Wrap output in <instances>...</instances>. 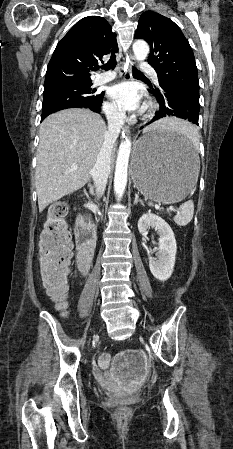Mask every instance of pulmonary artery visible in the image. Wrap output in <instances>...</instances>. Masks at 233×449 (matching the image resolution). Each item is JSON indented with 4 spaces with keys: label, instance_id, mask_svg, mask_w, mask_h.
Here are the masks:
<instances>
[{
    "label": "pulmonary artery",
    "instance_id": "1",
    "mask_svg": "<svg viewBox=\"0 0 233 449\" xmlns=\"http://www.w3.org/2000/svg\"><path fill=\"white\" fill-rule=\"evenodd\" d=\"M141 67L151 75L155 83H158V77L153 68H151L148 64H143ZM115 77L116 74L114 72L101 73L95 77L93 83L94 85H102L112 81Z\"/></svg>",
    "mask_w": 233,
    "mask_h": 449
}]
</instances>
